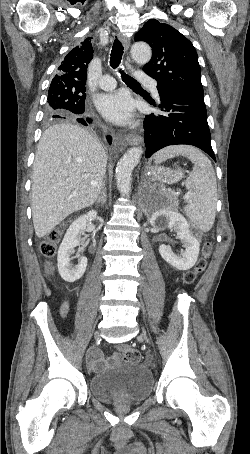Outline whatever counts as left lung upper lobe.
Here are the masks:
<instances>
[{
  "label": "left lung upper lobe",
  "mask_w": 250,
  "mask_h": 454,
  "mask_svg": "<svg viewBox=\"0 0 250 454\" xmlns=\"http://www.w3.org/2000/svg\"><path fill=\"white\" fill-rule=\"evenodd\" d=\"M135 40L152 47V58L143 70L157 80L158 91L203 94L196 50L179 31L151 19L135 35Z\"/></svg>",
  "instance_id": "left-lung-upper-lobe-1"
}]
</instances>
